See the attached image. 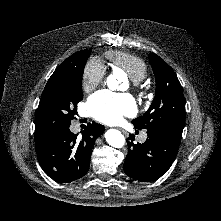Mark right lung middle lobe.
Returning a JSON list of instances; mask_svg holds the SVG:
<instances>
[{
	"mask_svg": "<svg viewBox=\"0 0 221 221\" xmlns=\"http://www.w3.org/2000/svg\"><path fill=\"white\" fill-rule=\"evenodd\" d=\"M90 54L86 50L72 67L49 78L36 112V132L43 135L71 124L77 103L83 99L81 79Z\"/></svg>",
	"mask_w": 221,
	"mask_h": 221,
	"instance_id": "dd1d6c3e",
	"label": "right lung middle lobe"
}]
</instances>
